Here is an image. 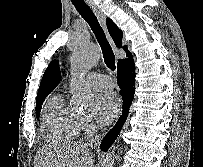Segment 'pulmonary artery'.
<instances>
[{"mask_svg":"<svg viewBox=\"0 0 203 167\" xmlns=\"http://www.w3.org/2000/svg\"><path fill=\"white\" fill-rule=\"evenodd\" d=\"M87 82L94 90H109L114 86L109 76L98 73L88 74Z\"/></svg>","mask_w":203,"mask_h":167,"instance_id":"1","label":"pulmonary artery"}]
</instances>
